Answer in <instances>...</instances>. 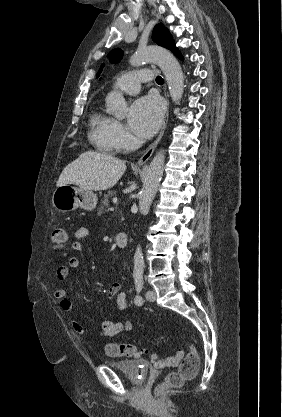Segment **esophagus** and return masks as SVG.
I'll use <instances>...</instances> for the list:
<instances>
[{
  "label": "esophagus",
  "instance_id": "34e87169",
  "mask_svg": "<svg viewBox=\"0 0 282 417\" xmlns=\"http://www.w3.org/2000/svg\"><path fill=\"white\" fill-rule=\"evenodd\" d=\"M165 96H166V93H165ZM168 119H169V101L167 100V110H166V113H165V116H164V120H163V124H162L161 130H160V133H159L157 139L155 140V142L148 148V150L144 153V155H142V157L139 159L138 165H144L147 162V160H149L151 155L153 154L155 148L157 147L158 143L160 142L161 138L163 137Z\"/></svg>",
  "mask_w": 282,
  "mask_h": 417
}]
</instances>
